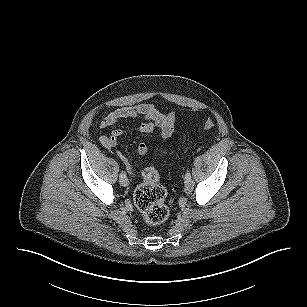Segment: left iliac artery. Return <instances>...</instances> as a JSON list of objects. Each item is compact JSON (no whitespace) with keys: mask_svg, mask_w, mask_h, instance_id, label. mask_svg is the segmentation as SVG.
Listing matches in <instances>:
<instances>
[{"mask_svg":"<svg viewBox=\"0 0 307 307\" xmlns=\"http://www.w3.org/2000/svg\"><path fill=\"white\" fill-rule=\"evenodd\" d=\"M186 178H191L190 173H186V174H185V179H186Z\"/></svg>","mask_w":307,"mask_h":307,"instance_id":"1","label":"left iliac artery"}]
</instances>
